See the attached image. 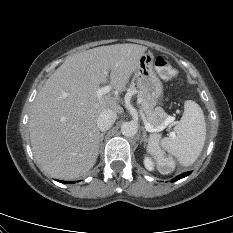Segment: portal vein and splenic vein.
<instances>
[{"label": "portal vein and splenic vein", "instance_id": "obj_1", "mask_svg": "<svg viewBox=\"0 0 233 233\" xmlns=\"http://www.w3.org/2000/svg\"><path fill=\"white\" fill-rule=\"evenodd\" d=\"M111 91V86L110 85H107V86H104V87H101L99 88L97 91H96V94L97 96L100 98L102 95L104 94H107ZM169 118V119H168ZM167 119L169 120V122H171L173 120L172 117H168ZM166 119V120H167ZM165 120V122L158 126L157 128L153 127L147 120L146 118L144 119V125H145V129L150 132V133H154V132H159V131H162L163 129H165L168 125V122Z\"/></svg>", "mask_w": 233, "mask_h": 233}]
</instances>
